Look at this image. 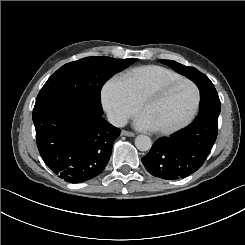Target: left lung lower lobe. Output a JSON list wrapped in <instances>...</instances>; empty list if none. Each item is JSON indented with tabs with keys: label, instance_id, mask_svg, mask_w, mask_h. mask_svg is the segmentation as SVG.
Wrapping results in <instances>:
<instances>
[{
	"label": "left lung lower lobe",
	"instance_id": "1",
	"mask_svg": "<svg viewBox=\"0 0 245 245\" xmlns=\"http://www.w3.org/2000/svg\"><path fill=\"white\" fill-rule=\"evenodd\" d=\"M200 90V113L184 130L158 139L142 158L147 171L166 180L185 178L197 171L217 138L220 100L210 79L196 84Z\"/></svg>",
	"mask_w": 245,
	"mask_h": 245
}]
</instances>
